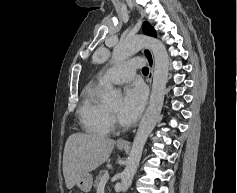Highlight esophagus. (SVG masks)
I'll use <instances>...</instances> for the list:
<instances>
[{
    "label": "esophagus",
    "mask_w": 237,
    "mask_h": 193,
    "mask_svg": "<svg viewBox=\"0 0 237 193\" xmlns=\"http://www.w3.org/2000/svg\"><path fill=\"white\" fill-rule=\"evenodd\" d=\"M143 54L145 55L148 65H149V75L147 77V81L149 85H151L152 77H153V69H154V57L152 51L148 48L143 49ZM118 145H128L129 142L125 138H120L117 141Z\"/></svg>",
    "instance_id": "esophagus-1"
}]
</instances>
